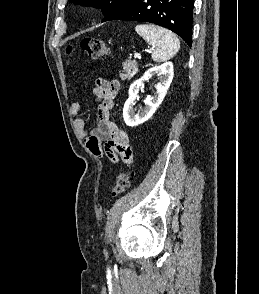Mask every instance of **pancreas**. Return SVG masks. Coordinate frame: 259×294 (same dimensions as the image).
<instances>
[{"label":"pancreas","mask_w":259,"mask_h":294,"mask_svg":"<svg viewBox=\"0 0 259 294\" xmlns=\"http://www.w3.org/2000/svg\"><path fill=\"white\" fill-rule=\"evenodd\" d=\"M138 72L137 63L135 61L127 60L123 63V70L120 71V78L122 80L131 79Z\"/></svg>","instance_id":"1"}]
</instances>
